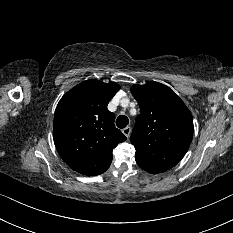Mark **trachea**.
Returning <instances> with one entry per match:
<instances>
[{
  "mask_svg": "<svg viewBox=\"0 0 233 233\" xmlns=\"http://www.w3.org/2000/svg\"><path fill=\"white\" fill-rule=\"evenodd\" d=\"M128 123L129 119L124 115H120L116 119V125L120 129L125 128L128 125Z\"/></svg>",
  "mask_w": 233,
  "mask_h": 233,
  "instance_id": "1",
  "label": "trachea"
}]
</instances>
